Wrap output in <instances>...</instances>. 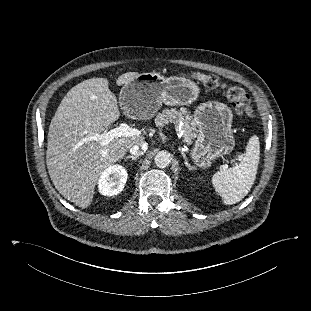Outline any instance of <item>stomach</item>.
Listing matches in <instances>:
<instances>
[{"instance_id":"0dacf381","label":"stomach","mask_w":311,"mask_h":311,"mask_svg":"<svg viewBox=\"0 0 311 311\" xmlns=\"http://www.w3.org/2000/svg\"><path fill=\"white\" fill-rule=\"evenodd\" d=\"M199 93L198 84L190 79L166 78L155 72L142 73L122 87L119 104L125 113L147 120L157 113L162 103L168 106L189 105L197 100ZM193 116L198 135L191 158L196 166L207 168L235 147L233 113L226 104L211 101L199 106Z\"/></svg>"}]
</instances>
